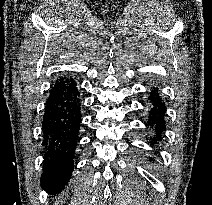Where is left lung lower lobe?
I'll return each mask as SVG.
<instances>
[{
    "label": "left lung lower lobe",
    "instance_id": "obj_1",
    "mask_svg": "<svg viewBox=\"0 0 212 205\" xmlns=\"http://www.w3.org/2000/svg\"><path fill=\"white\" fill-rule=\"evenodd\" d=\"M149 100L152 103V106L149 112V120L145 123V125L155 127L156 135L155 137L151 138V145H154L155 141L157 143L158 140H161L162 131L165 130L164 117L166 106L155 88L150 92Z\"/></svg>",
    "mask_w": 212,
    "mask_h": 205
}]
</instances>
